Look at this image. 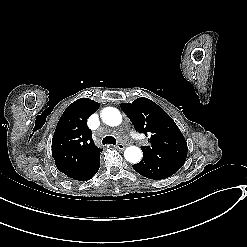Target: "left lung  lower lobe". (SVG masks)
Returning <instances> with one entry per match:
<instances>
[{
    "instance_id": "obj_1",
    "label": "left lung lower lobe",
    "mask_w": 247,
    "mask_h": 247,
    "mask_svg": "<svg viewBox=\"0 0 247 247\" xmlns=\"http://www.w3.org/2000/svg\"><path fill=\"white\" fill-rule=\"evenodd\" d=\"M132 167L140 175L155 180L168 178L181 168L160 158L144 154L143 159L139 163L132 165Z\"/></svg>"
}]
</instances>
